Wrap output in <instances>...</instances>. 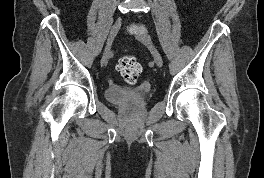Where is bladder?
I'll return each mask as SVG.
<instances>
[{"instance_id":"obj_1","label":"bladder","mask_w":264,"mask_h":178,"mask_svg":"<svg viewBox=\"0 0 264 178\" xmlns=\"http://www.w3.org/2000/svg\"><path fill=\"white\" fill-rule=\"evenodd\" d=\"M105 98L112 104L133 103L137 100L134 89H126L117 86H108L105 90Z\"/></svg>"}]
</instances>
